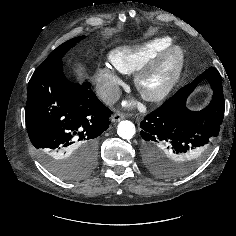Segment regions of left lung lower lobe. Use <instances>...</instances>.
Masks as SVG:
<instances>
[{"label":"left lung lower lobe","mask_w":236,"mask_h":236,"mask_svg":"<svg viewBox=\"0 0 236 236\" xmlns=\"http://www.w3.org/2000/svg\"><path fill=\"white\" fill-rule=\"evenodd\" d=\"M205 79L213 89L210 104L201 111L187 109L188 96ZM224 108L222 79L211 67L140 123L147 166L159 174L173 175L200 161L219 133Z\"/></svg>","instance_id":"obj_1"}]
</instances>
